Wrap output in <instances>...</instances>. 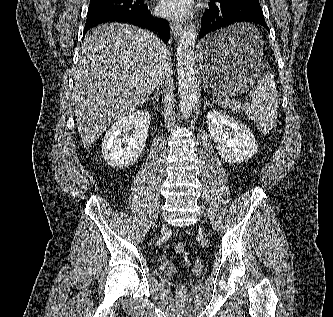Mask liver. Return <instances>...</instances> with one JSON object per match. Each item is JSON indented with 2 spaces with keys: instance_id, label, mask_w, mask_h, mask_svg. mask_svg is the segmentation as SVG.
<instances>
[{
  "instance_id": "6515ba94",
  "label": "liver",
  "mask_w": 333,
  "mask_h": 317,
  "mask_svg": "<svg viewBox=\"0 0 333 317\" xmlns=\"http://www.w3.org/2000/svg\"><path fill=\"white\" fill-rule=\"evenodd\" d=\"M166 51L153 33L112 23L87 34L74 77L73 107L76 124L85 148L108 126L143 105L156 87V66Z\"/></svg>"
}]
</instances>
